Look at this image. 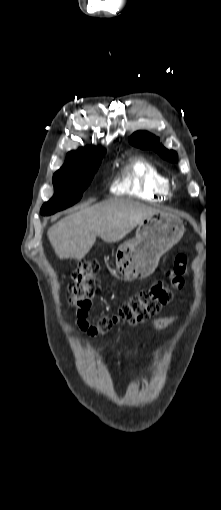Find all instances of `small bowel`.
<instances>
[{"mask_svg":"<svg viewBox=\"0 0 221 510\" xmlns=\"http://www.w3.org/2000/svg\"><path fill=\"white\" fill-rule=\"evenodd\" d=\"M175 320L173 316L157 317L151 321V326L155 329H164L171 325Z\"/></svg>","mask_w":221,"mask_h":510,"instance_id":"obj_1","label":"small bowel"}]
</instances>
